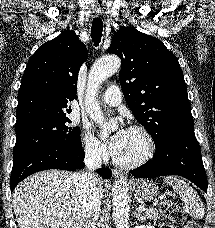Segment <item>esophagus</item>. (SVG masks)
<instances>
[{"mask_svg": "<svg viewBox=\"0 0 215 228\" xmlns=\"http://www.w3.org/2000/svg\"><path fill=\"white\" fill-rule=\"evenodd\" d=\"M123 175V173L119 170H113V176L115 178L121 177Z\"/></svg>", "mask_w": 215, "mask_h": 228, "instance_id": "esophagus-1", "label": "esophagus"}]
</instances>
